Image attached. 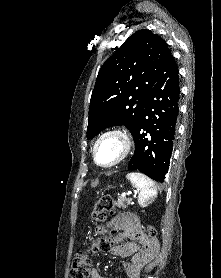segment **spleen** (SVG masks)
Listing matches in <instances>:
<instances>
[{
    "label": "spleen",
    "instance_id": "3e777b00",
    "mask_svg": "<svg viewBox=\"0 0 221 278\" xmlns=\"http://www.w3.org/2000/svg\"><path fill=\"white\" fill-rule=\"evenodd\" d=\"M127 179L132 185L140 190L138 203L140 206H147L157 197V188L155 183L146 175L138 172H132L127 175Z\"/></svg>",
    "mask_w": 221,
    "mask_h": 278
}]
</instances>
